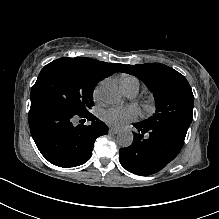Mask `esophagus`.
I'll list each match as a JSON object with an SVG mask.
<instances>
[{"instance_id":"obj_1","label":"esophagus","mask_w":219,"mask_h":219,"mask_svg":"<svg viewBox=\"0 0 219 219\" xmlns=\"http://www.w3.org/2000/svg\"><path fill=\"white\" fill-rule=\"evenodd\" d=\"M109 132H110L111 134H118L120 131H119V129H117V128L111 127V128L109 129Z\"/></svg>"}]
</instances>
